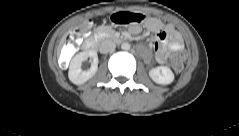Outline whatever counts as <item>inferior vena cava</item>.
<instances>
[{
	"instance_id": "602c4592",
	"label": "inferior vena cava",
	"mask_w": 239,
	"mask_h": 136,
	"mask_svg": "<svg viewBox=\"0 0 239 136\" xmlns=\"http://www.w3.org/2000/svg\"><path fill=\"white\" fill-rule=\"evenodd\" d=\"M115 48L116 44L110 39H105L99 44V51L103 54L113 52Z\"/></svg>"
}]
</instances>
